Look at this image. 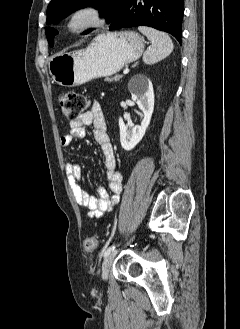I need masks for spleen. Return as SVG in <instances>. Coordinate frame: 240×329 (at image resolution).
<instances>
[{
  "instance_id": "obj_1",
  "label": "spleen",
  "mask_w": 240,
  "mask_h": 329,
  "mask_svg": "<svg viewBox=\"0 0 240 329\" xmlns=\"http://www.w3.org/2000/svg\"><path fill=\"white\" fill-rule=\"evenodd\" d=\"M138 30L151 41V47L143 54L144 63L154 64L173 51L174 45L167 33L145 26L138 27Z\"/></svg>"
}]
</instances>
